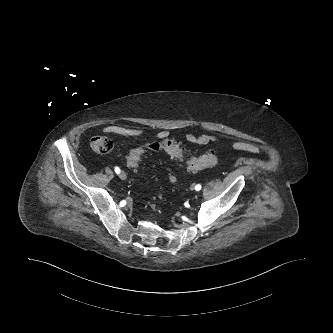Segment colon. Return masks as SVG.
I'll use <instances>...</instances> for the list:
<instances>
[{
	"mask_svg": "<svg viewBox=\"0 0 333 333\" xmlns=\"http://www.w3.org/2000/svg\"><path fill=\"white\" fill-rule=\"evenodd\" d=\"M92 148L99 153H108L113 148V142L106 136H94L91 139ZM164 150L171 157L184 161L190 171H198L217 164L218 159L214 152H207L200 156H187L180 143L173 139H162L151 143L143 144L133 148L126 156L125 162L128 168L138 170L143 158L149 151ZM170 180L175 178L170 176Z\"/></svg>",
	"mask_w": 333,
	"mask_h": 333,
	"instance_id": "colon-1",
	"label": "colon"
}]
</instances>
